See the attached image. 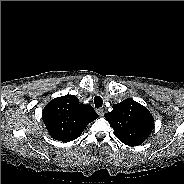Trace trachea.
<instances>
[{
	"label": "trachea",
	"mask_w": 184,
	"mask_h": 184,
	"mask_svg": "<svg viewBox=\"0 0 184 184\" xmlns=\"http://www.w3.org/2000/svg\"><path fill=\"white\" fill-rule=\"evenodd\" d=\"M94 103H95V107L96 108H100V107H102L103 100H102V98L100 96H96L94 98Z\"/></svg>",
	"instance_id": "trachea-1"
}]
</instances>
